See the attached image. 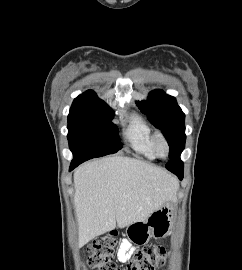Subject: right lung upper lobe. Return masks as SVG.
<instances>
[{
    "label": "right lung upper lobe",
    "instance_id": "obj_1",
    "mask_svg": "<svg viewBox=\"0 0 242 270\" xmlns=\"http://www.w3.org/2000/svg\"><path fill=\"white\" fill-rule=\"evenodd\" d=\"M109 109L110 107L99 99L94 91L88 90L75 98L70 113H92Z\"/></svg>",
    "mask_w": 242,
    "mask_h": 270
}]
</instances>
